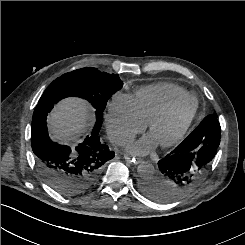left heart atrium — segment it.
<instances>
[{"instance_id": "1", "label": "left heart atrium", "mask_w": 245, "mask_h": 245, "mask_svg": "<svg viewBox=\"0 0 245 245\" xmlns=\"http://www.w3.org/2000/svg\"><path fill=\"white\" fill-rule=\"evenodd\" d=\"M156 144V140L152 137V135H149L136 142H133L128 147V151L135 155H144L150 152L156 146Z\"/></svg>"}]
</instances>
